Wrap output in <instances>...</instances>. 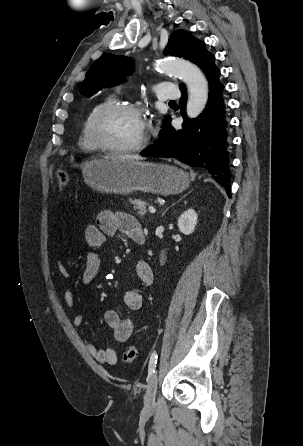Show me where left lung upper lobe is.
Instances as JSON below:
<instances>
[{
    "mask_svg": "<svg viewBox=\"0 0 303 446\" xmlns=\"http://www.w3.org/2000/svg\"><path fill=\"white\" fill-rule=\"evenodd\" d=\"M164 54L188 59L201 69L213 56L206 50L204 42L185 30H177L171 34ZM131 69V61L126 57L105 53L91 65L79 91L84 96H92L104 87L125 82V76L131 73ZM183 87L184 85L181 84L180 88ZM169 119L170 117L167 116L163 123L165 124Z\"/></svg>",
    "mask_w": 303,
    "mask_h": 446,
    "instance_id": "1",
    "label": "left lung upper lobe"
}]
</instances>
